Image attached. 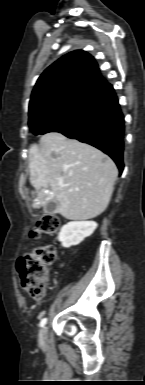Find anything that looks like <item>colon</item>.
I'll list each match as a JSON object with an SVG mask.
<instances>
[{
	"label": "colon",
	"mask_w": 145,
	"mask_h": 385,
	"mask_svg": "<svg viewBox=\"0 0 145 385\" xmlns=\"http://www.w3.org/2000/svg\"><path fill=\"white\" fill-rule=\"evenodd\" d=\"M60 228V219L54 214H43L34 223L31 238L54 234ZM56 259V249L44 245L22 256L18 261V274L22 288L35 300L44 297L49 281V268Z\"/></svg>",
	"instance_id": "5ec220e1"
}]
</instances>
